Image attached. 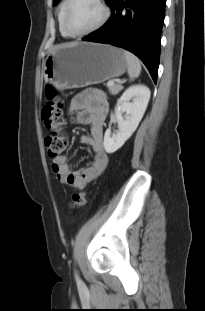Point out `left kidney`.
Instances as JSON below:
<instances>
[{"instance_id":"1","label":"left kidney","mask_w":205,"mask_h":311,"mask_svg":"<svg viewBox=\"0 0 205 311\" xmlns=\"http://www.w3.org/2000/svg\"><path fill=\"white\" fill-rule=\"evenodd\" d=\"M150 95V89L144 85L132 86L124 91L115 107L118 131L111 134V130L107 129L104 135V149L107 153L117 151L135 132L146 111Z\"/></svg>"}]
</instances>
